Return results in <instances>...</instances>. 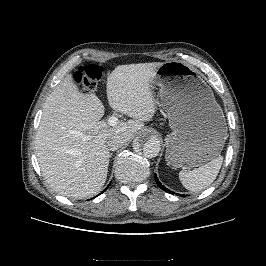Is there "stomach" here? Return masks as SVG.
<instances>
[{
    "mask_svg": "<svg viewBox=\"0 0 266 266\" xmlns=\"http://www.w3.org/2000/svg\"><path fill=\"white\" fill-rule=\"evenodd\" d=\"M151 86L159 88L160 106L172 129L165 139L167 164L193 168L219 155L227 137L226 121L197 70L181 61L165 62L156 69Z\"/></svg>",
    "mask_w": 266,
    "mask_h": 266,
    "instance_id": "1",
    "label": "stomach"
}]
</instances>
